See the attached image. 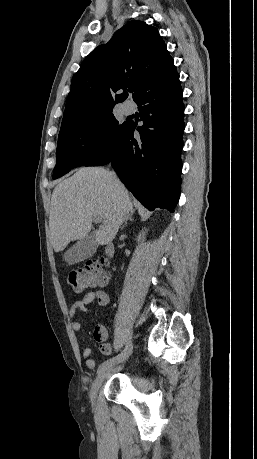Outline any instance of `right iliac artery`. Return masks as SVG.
<instances>
[{
  "instance_id": "right-iliac-artery-1",
  "label": "right iliac artery",
  "mask_w": 257,
  "mask_h": 459,
  "mask_svg": "<svg viewBox=\"0 0 257 459\" xmlns=\"http://www.w3.org/2000/svg\"><path fill=\"white\" fill-rule=\"evenodd\" d=\"M131 348H132V343L131 341H128L127 344H126V347L125 349L123 350V352L115 357H112L106 361H104L99 367H98V370H97V373H101L102 371L108 369L109 367H111L112 365H114L115 363L119 362L122 357H124L126 354H128L130 351H131Z\"/></svg>"
}]
</instances>
